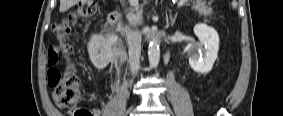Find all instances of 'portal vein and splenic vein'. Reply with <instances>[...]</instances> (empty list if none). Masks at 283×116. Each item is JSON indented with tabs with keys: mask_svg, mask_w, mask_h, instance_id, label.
I'll list each match as a JSON object with an SVG mask.
<instances>
[{
	"mask_svg": "<svg viewBox=\"0 0 283 116\" xmlns=\"http://www.w3.org/2000/svg\"><path fill=\"white\" fill-rule=\"evenodd\" d=\"M130 2L133 4L134 8L137 9V1L130 0ZM134 2H136V3H134ZM181 6H182V3H179V4H178V7H181Z\"/></svg>",
	"mask_w": 283,
	"mask_h": 116,
	"instance_id": "obj_1",
	"label": "portal vein and splenic vein"
}]
</instances>
